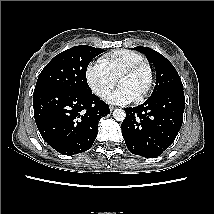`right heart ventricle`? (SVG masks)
<instances>
[{"label":"right heart ventricle","instance_id":"right-heart-ventricle-1","mask_svg":"<svg viewBox=\"0 0 214 214\" xmlns=\"http://www.w3.org/2000/svg\"><path fill=\"white\" fill-rule=\"evenodd\" d=\"M143 60V54L128 49L111 51L100 59L115 78H117L125 68Z\"/></svg>","mask_w":214,"mask_h":214}]
</instances>
